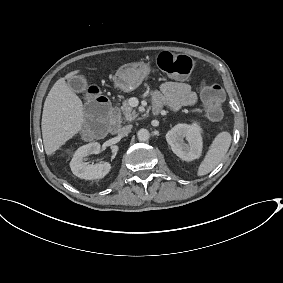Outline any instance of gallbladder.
I'll return each instance as SVG.
<instances>
[{
    "label": "gallbladder",
    "mask_w": 283,
    "mask_h": 283,
    "mask_svg": "<svg viewBox=\"0 0 283 283\" xmlns=\"http://www.w3.org/2000/svg\"><path fill=\"white\" fill-rule=\"evenodd\" d=\"M69 87L77 93H83L87 90L88 80L84 76H74L68 80Z\"/></svg>",
    "instance_id": "obj_1"
}]
</instances>
